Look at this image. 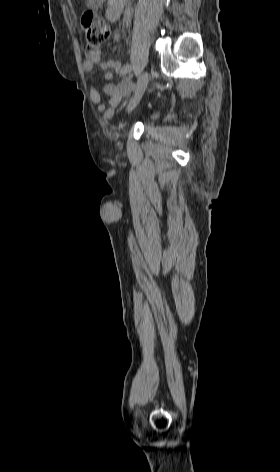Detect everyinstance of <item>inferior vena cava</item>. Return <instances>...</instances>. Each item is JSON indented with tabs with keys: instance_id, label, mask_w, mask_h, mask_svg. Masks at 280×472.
Segmentation results:
<instances>
[{
	"instance_id": "obj_1",
	"label": "inferior vena cava",
	"mask_w": 280,
	"mask_h": 472,
	"mask_svg": "<svg viewBox=\"0 0 280 472\" xmlns=\"http://www.w3.org/2000/svg\"><path fill=\"white\" fill-rule=\"evenodd\" d=\"M131 13H132V9L128 6L125 10V13H124V20H125L127 26H128V24L131 20Z\"/></svg>"
}]
</instances>
